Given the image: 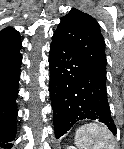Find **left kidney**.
Instances as JSON below:
<instances>
[{"mask_svg":"<svg viewBox=\"0 0 124 149\" xmlns=\"http://www.w3.org/2000/svg\"><path fill=\"white\" fill-rule=\"evenodd\" d=\"M67 149H75V147H73V146H69Z\"/></svg>","mask_w":124,"mask_h":149,"instance_id":"1","label":"left kidney"}]
</instances>
